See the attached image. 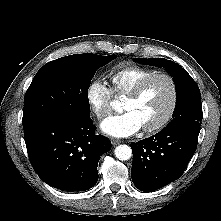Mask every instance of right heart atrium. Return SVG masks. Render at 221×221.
<instances>
[{"mask_svg": "<svg viewBox=\"0 0 221 221\" xmlns=\"http://www.w3.org/2000/svg\"><path fill=\"white\" fill-rule=\"evenodd\" d=\"M85 98L91 112L99 120L111 112L112 91L102 81L90 82L85 92Z\"/></svg>", "mask_w": 221, "mask_h": 221, "instance_id": "d8ad5b80", "label": "right heart atrium"}]
</instances>
